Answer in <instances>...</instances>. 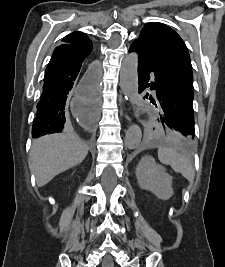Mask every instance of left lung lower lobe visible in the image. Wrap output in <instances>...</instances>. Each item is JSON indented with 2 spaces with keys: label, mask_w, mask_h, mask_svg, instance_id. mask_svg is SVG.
Returning <instances> with one entry per match:
<instances>
[{
  "label": "left lung lower lobe",
  "mask_w": 225,
  "mask_h": 267,
  "mask_svg": "<svg viewBox=\"0 0 225 267\" xmlns=\"http://www.w3.org/2000/svg\"><path fill=\"white\" fill-rule=\"evenodd\" d=\"M138 54L139 93L150 87L155 90L152 97L149 93L143 99L150 101L159 111L160 119L170 123L174 128L193 142V73L192 67L176 60H164L151 56L135 40L129 52ZM153 75V81L148 83Z\"/></svg>",
  "instance_id": "obj_1"
}]
</instances>
